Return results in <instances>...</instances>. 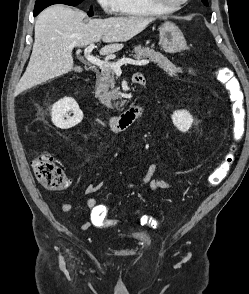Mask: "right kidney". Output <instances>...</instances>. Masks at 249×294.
I'll use <instances>...</instances> for the list:
<instances>
[{"label":"right kidney","instance_id":"1","mask_svg":"<svg viewBox=\"0 0 249 294\" xmlns=\"http://www.w3.org/2000/svg\"><path fill=\"white\" fill-rule=\"evenodd\" d=\"M68 112L73 116L68 117ZM67 117V119H65ZM53 124L60 129H69L79 124L83 119V112L80 110L75 99L65 97L56 102L51 110Z\"/></svg>","mask_w":249,"mask_h":294}]
</instances>
